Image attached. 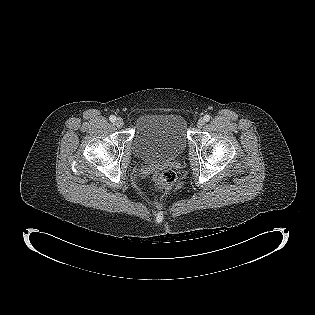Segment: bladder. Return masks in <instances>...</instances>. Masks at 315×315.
I'll return each instance as SVG.
<instances>
[{
  "label": "bladder",
  "mask_w": 315,
  "mask_h": 315,
  "mask_svg": "<svg viewBox=\"0 0 315 315\" xmlns=\"http://www.w3.org/2000/svg\"><path fill=\"white\" fill-rule=\"evenodd\" d=\"M187 122L178 112L141 115L132 138L135 156L149 163L174 160L187 146Z\"/></svg>",
  "instance_id": "31cf9c89"
}]
</instances>
